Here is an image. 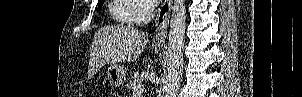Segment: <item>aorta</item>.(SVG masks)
Wrapping results in <instances>:
<instances>
[{"mask_svg": "<svg viewBox=\"0 0 302 97\" xmlns=\"http://www.w3.org/2000/svg\"><path fill=\"white\" fill-rule=\"evenodd\" d=\"M186 29L185 0H174L170 20L168 46V75L165 97H176L183 67V48Z\"/></svg>", "mask_w": 302, "mask_h": 97, "instance_id": "obj_1", "label": "aorta"}]
</instances>
